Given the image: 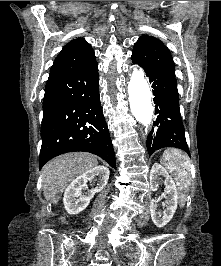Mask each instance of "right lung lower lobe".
I'll use <instances>...</instances> for the list:
<instances>
[{"label": "right lung lower lobe", "mask_w": 221, "mask_h": 266, "mask_svg": "<svg viewBox=\"0 0 221 266\" xmlns=\"http://www.w3.org/2000/svg\"><path fill=\"white\" fill-rule=\"evenodd\" d=\"M98 64L47 82L43 99L39 168L55 156L85 151L116 167L99 96Z\"/></svg>", "instance_id": "98d812e1"}]
</instances>
